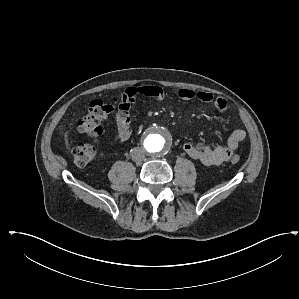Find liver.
Returning a JSON list of instances; mask_svg holds the SVG:
<instances>
[{
	"label": "liver",
	"instance_id": "6515ba94",
	"mask_svg": "<svg viewBox=\"0 0 299 299\" xmlns=\"http://www.w3.org/2000/svg\"><path fill=\"white\" fill-rule=\"evenodd\" d=\"M64 139H65L66 148L69 149L70 145H69V142H68V134H67V132L64 133Z\"/></svg>",
	"mask_w": 299,
	"mask_h": 299
}]
</instances>
